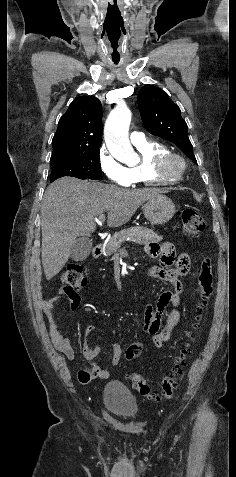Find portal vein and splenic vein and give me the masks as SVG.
Listing matches in <instances>:
<instances>
[{"label": "portal vein and splenic vein", "instance_id": "obj_1", "mask_svg": "<svg viewBox=\"0 0 236 477\" xmlns=\"http://www.w3.org/2000/svg\"><path fill=\"white\" fill-rule=\"evenodd\" d=\"M95 220L98 222V223H102L105 221V216L103 214L99 215L98 218H95Z\"/></svg>", "mask_w": 236, "mask_h": 477}]
</instances>
